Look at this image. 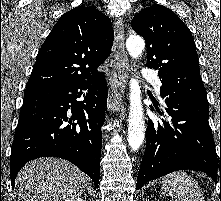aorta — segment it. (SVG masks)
<instances>
[{
	"instance_id": "1",
	"label": "aorta",
	"mask_w": 221,
	"mask_h": 201,
	"mask_svg": "<svg viewBox=\"0 0 221 201\" xmlns=\"http://www.w3.org/2000/svg\"><path fill=\"white\" fill-rule=\"evenodd\" d=\"M144 46V40L137 35H131L126 41L127 50L133 58L141 55ZM128 123V143L132 151H137L145 138V121L140 85L136 77L130 80V112Z\"/></svg>"
}]
</instances>
